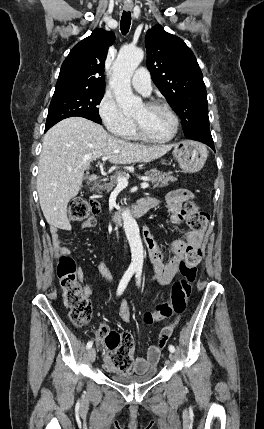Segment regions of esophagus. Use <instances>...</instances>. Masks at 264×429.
Masks as SVG:
<instances>
[{"label": "esophagus", "instance_id": "esophagus-1", "mask_svg": "<svg viewBox=\"0 0 264 429\" xmlns=\"http://www.w3.org/2000/svg\"><path fill=\"white\" fill-rule=\"evenodd\" d=\"M132 8H133L132 4H125V5H124V10H125V11H131V10H132Z\"/></svg>", "mask_w": 264, "mask_h": 429}]
</instances>
